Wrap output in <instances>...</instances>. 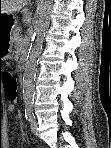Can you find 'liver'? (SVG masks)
Masks as SVG:
<instances>
[{"label": "liver", "mask_w": 111, "mask_h": 148, "mask_svg": "<svg viewBox=\"0 0 111 148\" xmlns=\"http://www.w3.org/2000/svg\"><path fill=\"white\" fill-rule=\"evenodd\" d=\"M29 1L30 0H2L0 7L1 13L8 14L18 11L26 6Z\"/></svg>", "instance_id": "6515ba94"}]
</instances>
